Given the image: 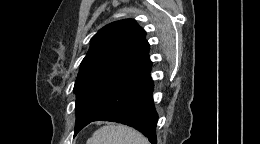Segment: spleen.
Here are the masks:
<instances>
[{"label": "spleen", "instance_id": "3e777b00", "mask_svg": "<svg viewBox=\"0 0 260 144\" xmlns=\"http://www.w3.org/2000/svg\"><path fill=\"white\" fill-rule=\"evenodd\" d=\"M86 144H149V142L135 129L118 124L100 127Z\"/></svg>", "mask_w": 260, "mask_h": 144}]
</instances>
